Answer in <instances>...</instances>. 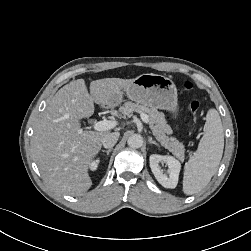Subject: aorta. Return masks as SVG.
<instances>
[{"mask_svg": "<svg viewBox=\"0 0 251 251\" xmlns=\"http://www.w3.org/2000/svg\"><path fill=\"white\" fill-rule=\"evenodd\" d=\"M127 143L131 148H140L143 145V138L140 134H133L128 138Z\"/></svg>", "mask_w": 251, "mask_h": 251, "instance_id": "1", "label": "aorta"}]
</instances>
